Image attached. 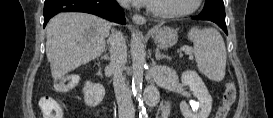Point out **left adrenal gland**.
<instances>
[{
	"mask_svg": "<svg viewBox=\"0 0 273 118\" xmlns=\"http://www.w3.org/2000/svg\"><path fill=\"white\" fill-rule=\"evenodd\" d=\"M155 58L156 60H161L165 58V56L160 53V50L158 48L156 49Z\"/></svg>",
	"mask_w": 273,
	"mask_h": 118,
	"instance_id": "a2214340",
	"label": "left adrenal gland"
}]
</instances>
